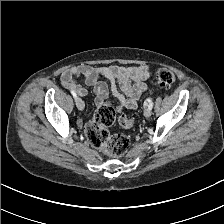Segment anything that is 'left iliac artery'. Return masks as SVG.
Here are the masks:
<instances>
[{"instance_id":"44dca946","label":"left iliac artery","mask_w":224,"mask_h":224,"mask_svg":"<svg viewBox=\"0 0 224 224\" xmlns=\"http://www.w3.org/2000/svg\"><path fill=\"white\" fill-rule=\"evenodd\" d=\"M148 102H149V107L152 109V107H153V100L149 99Z\"/></svg>"}]
</instances>
